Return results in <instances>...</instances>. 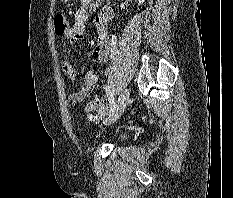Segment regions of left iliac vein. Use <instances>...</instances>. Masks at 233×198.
I'll use <instances>...</instances> for the list:
<instances>
[{
    "instance_id": "left-iliac-vein-1",
    "label": "left iliac vein",
    "mask_w": 233,
    "mask_h": 198,
    "mask_svg": "<svg viewBox=\"0 0 233 198\" xmlns=\"http://www.w3.org/2000/svg\"><path fill=\"white\" fill-rule=\"evenodd\" d=\"M129 96H130V90L128 88L124 89L121 92L120 96L118 97L116 107L114 111L106 119L104 123L105 125L112 124L119 119V117L122 115V113L124 112L126 108Z\"/></svg>"
}]
</instances>
